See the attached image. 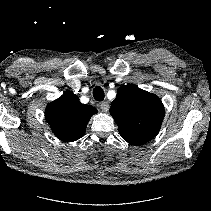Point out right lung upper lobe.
<instances>
[{
	"label": "right lung upper lobe",
	"mask_w": 211,
	"mask_h": 211,
	"mask_svg": "<svg viewBox=\"0 0 211 211\" xmlns=\"http://www.w3.org/2000/svg\"><path fill=\"white\" fill-rule=\"evenodd\" d=\"M96 113V108L82 104L77 95L67 91L47 105L45 117L59 139L72 142L85 134L88 121Z\"/></svg>",
	"instance_id": "right-lung-upper-lobe-1"
}]
</instances>
